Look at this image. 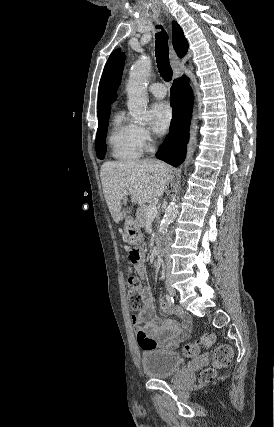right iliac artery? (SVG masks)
Listing matches in <instances>:
<instances>
[{
  "label": "right iliac artery",
  "mask_w": 274,
  "mask_h": 427,
  "mask_svg": "<svg viewBox=\"0 0 274 427\" xmlns=\"http://www.w3.org/2000/svg\"><path fill=\"white\" fill-rule=\"evenodd\" d=\"M166 300L170 305H174V299L170 294H166Z\"/></svg>",
  "instance_id": "right-iliac-artery-1"
}]
</instances>
